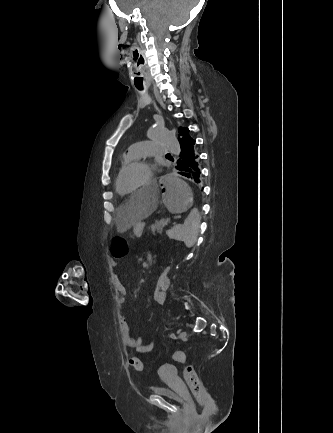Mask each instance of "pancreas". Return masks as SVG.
Here are the masks:
<instances>
[{
  "label": "pancreas",
  "instance_id": "1",
  "mask_svg": "<svg viewBox=\"0 0 333 433\" xmlns=\"http://www.w3.org/2000/svg\"><path fill=\"white\" fill-rule=\"evenodd\" d=\"M169 218H162L161 220L155 221L154 224H152L149 228V230L152 232V234L161 233L162 229L165 225L169 223Z\"/></svg>",
  "mask_w": 333,
  "mask_h": 433
}]
</instances>
